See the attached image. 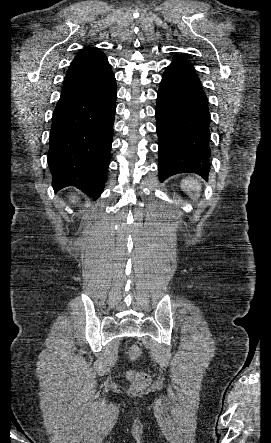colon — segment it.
Wrapping results in <instances>:
<instances>
[{
    "instance_id": "obj_1",
    "label": "colon",
    "mask_w": 271,
    "mask_h": 443,
    "mask_svg": "<svg viewBox=\"0 0 271 443\" xmlns=\"http://www.w3.org/2000/svg\"><path fill=\"white\" fill-rule=\"evenodd\" d=\"M127 355L130 361H137L142 356V349L139 345L132 344L128 348ZM127 377L132 382V387L135 390H142L150 383V376L143 371L129 369L127 371Z\"/></svg>"
}]
</instances>
